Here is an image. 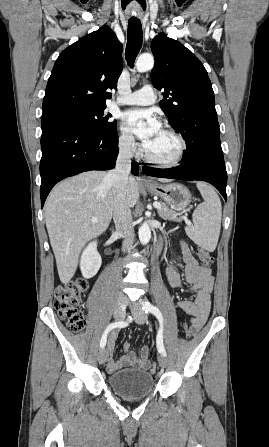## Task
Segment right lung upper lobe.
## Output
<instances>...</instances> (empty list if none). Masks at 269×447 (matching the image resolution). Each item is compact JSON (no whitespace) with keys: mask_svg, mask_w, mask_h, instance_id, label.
I'll return each mask as SVG.
<instances>
[{"mask_svg":"<svg viewBox=\"0 0 269 447\" xmlns=\"http://www.w3.org/2000/svg\"><path fill=\"white\" fill-rule=\"evenodd\" d=\"M123 46L106 25L66 48L48 80L43 113L76 105L106 106L122 72Z\"/></svg>","mask_w":269,"mask_h":447,"instance_id":"obj_1","label":"right lung upper lobe"}]
</instances>
